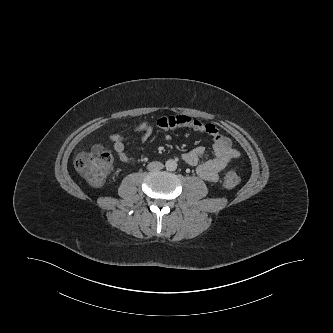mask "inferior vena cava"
<instances>
[{
  "instance_id": "inferior-vena-cava-1",
  "label": "inferior vena cava",
  "mask_w": 333,
  "mask_h": 333,
  "mask_svg": "<svg viewBox=\"0 0 333 333\" xmlns=\"http://www.w3.org/2000/svg\"><path fill=\"white\" fill-rule=\"evenodd\" d=\"M163 167H164V165L158 161L151 162L147 165V169L152 172L159 171V170L163 169Z\"/></svg>"
}]
</instances>
